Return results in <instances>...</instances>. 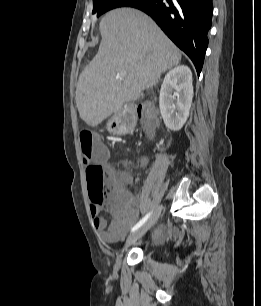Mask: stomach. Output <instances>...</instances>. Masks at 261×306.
Segmentation results:
<instances>
[{"label":"stomach","instance_id":"1","mask_svg":"<svg viewBox=\"0 0 261 306\" xmlns=\"http://www.w3.org/2000/svg\"><path fill=\"white\" fill-rule=\"evenodd\" d=\"M113 120L115 125L113 130L116 134L119 135L132 131L136 123L135 117L127 111L118 113L115 115Z\"/></svg>","mask_w":261,"mask_h":306}]
</instances>
